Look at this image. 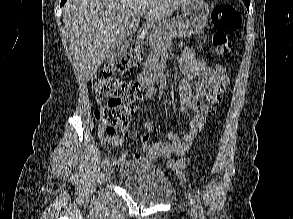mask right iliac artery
Wrapping results in <instances>:
<instances>
[{
    "label": "right iliac artery",
    "mask_w": 293,
    "mask_h": 219,
    "mask_svg": "<svg viewBox=\"0 0 293 219\" xmlns=\"http://www.w3.org/2000/svg\"><path fill=\"white\" fill-rule=\"evenodd\" d=\"M108 165H109V157H105L103 162H102V166L105 168Z\"/></svg>",
    "instance_id": "82829eb1"
}]
</instances>
